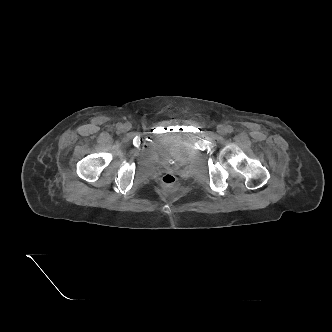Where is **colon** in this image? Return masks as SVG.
<instances>
[{"label": "colon", "mask_w": 332, "mask_h": 332, "mask_svg": "<svg viewBox=\"0 0 332 332\" xmlns=\"http://www.w3.org/2000/svg\"><path fill=\"white\" fill-rule=\"evenodd\" d=\"M161 185L166 193L174 194L179 190V181L173 174H165L161 179Z\"/></svg>", "instance_id": "obj_1"}]
</instances>
